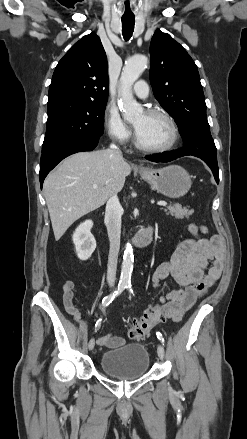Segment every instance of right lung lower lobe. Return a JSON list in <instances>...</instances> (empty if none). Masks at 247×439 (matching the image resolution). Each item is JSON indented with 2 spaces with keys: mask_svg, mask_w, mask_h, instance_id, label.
Segmentation results:
<instances>
[{
  "mask_svg": "<svg viewBox=\"0 0 247 439\" xmlns=\"http://www.w3.org/2000/svg\"><path fill=\"white\" fill-rule=\"evenodd\" d=\"M98 144V140H86L81 142H75L63 146L42 151L40 161V185L43 186V182L47 174L64 158L81 151H91Z\"/></svg>",
  "mask_w": 247,
  "mask_h": 439,
  "instance_id": "obj_1",
  "label": "right lung lower lobe"
}]
</instances>
